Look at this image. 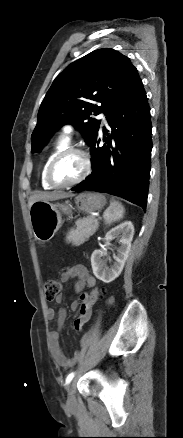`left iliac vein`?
<instances>
[{"label": "left iliac vein", "mask_w": 183, "mask_h": 438, "mask_svg": "<svg viewBox=\"0 0 183 438\" xmlns=\"http://www.w3.org/2000/svg\"><path fill=\"white\" fill-rule=\"evenodd\" d=\"M67 407L73 408L76 405L74 382H72L67 388Z\"/></svg>", "instance_id": "4c4485c4"}]
</instances>
